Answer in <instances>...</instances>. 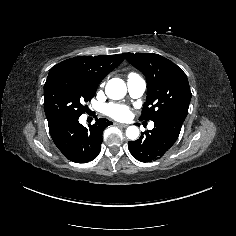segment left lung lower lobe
<instances>
[{
    "instance_id": "0a47b994",
    "label": "left lung lower lobe",
    "mask_w": 236,
    "mask_h": 236,
    "mask_svg": "<svg viewBox=\"0 0 236 236\" xmlns=\"http://www.w3.org/2000/svg\"><path fill=\"white\" fill-rule=\"evenodd\" d=\"M185 118L167 115L154 122V128L141 133L136 141H129L131 154L139 161L150 162L160 159L176 142Z\"/></svg>"
}]
</instances>
